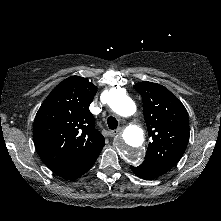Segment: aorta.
<instances>
[{
	"label": "aorta",
	"mask_w": 221,
	"mask_h": 221,
	"mask_svg": "<svg viewBox=\"0 0 221 221\" xmlns=\"http://www.w3.org/2000/svg\"><path fill=\"white\" fill-rule=\"evenodd\" d=\"M108 105L121 117H129L136 111L133 100L121 89H112L108 95ZM144 132L136 125L127 126L118 140L120 157L130 164H138L142 159Z\"/></svg>",
	"instance_id": "obj_1"
}]
</instances>
